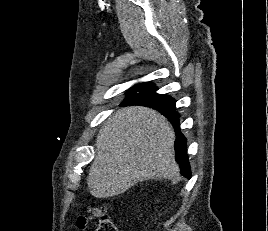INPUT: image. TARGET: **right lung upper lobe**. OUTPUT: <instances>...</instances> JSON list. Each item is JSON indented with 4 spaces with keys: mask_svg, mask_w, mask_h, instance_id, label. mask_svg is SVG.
Segmentation results:
<instances>
[{
    "mask_svg": "<svg viewBox=\"0 0 268 231\" xmlns=\"http://www.w3.org/2000/svg\"><path fill=\"white\" fill-rule=\"evenodd\" d=\"M145 84H151V83H142V84L136 85L135 87L145 85ZM135 87H133V88H135ZM123 103H135V104H139V105H143V106H148V107L154 108L156 110H165V109L173 107V105L165 103V102L143 99V98H139L137 96H133V95H129V94L127 95L126 99L122 102V104Z\"/></svg>",
    "mask_w": 268,
    "mask_h": 231,
    "instance_id": "1",
    "label": "right lung upper lobe"
}]
</instances>
